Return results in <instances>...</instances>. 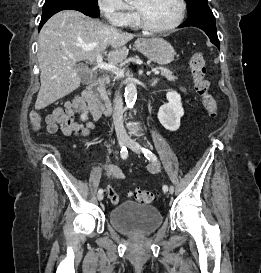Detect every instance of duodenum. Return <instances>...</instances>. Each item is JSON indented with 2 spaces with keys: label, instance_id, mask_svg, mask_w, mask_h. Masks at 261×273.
<instances>
[{
  "label": "duodenum",
  "instance_id": "duodenum-1",
  "mask_svg": "<svg viewBox=\"0 0 261 273\" xmlns=\"http://www.w3.org/2000/svg\"><path fill=\"white\" fill-rule=\"evenodd\" d=\"M104 76L91 82L82 94V98L93 108L109 115L112 105L109 98L103 93Z\"/></svg>",
  "mask_w": 261,
  "mask_h": 273
}]
</instances>
